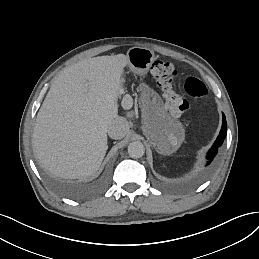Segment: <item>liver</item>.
I'll return each instance as SVG.
<instances>
[{
	"instance_id": "6515ba94",
	"label": "liver",
	"mask_w": 259,
	"mask_h": 259,
	"mask_svg": "<svg viewBox=\"0 0 259 259\" xmlns=\"http://www.w3.org/2000/svg\"><path fill=\"white\" fill-rule=\"evenodd\" d=\"M127 62L123 54L89 58L57 75L32 134L42 167L64 178L97 171L108 149V125L118 117L120 77Z\"/></svg>"
}]
</instances>
